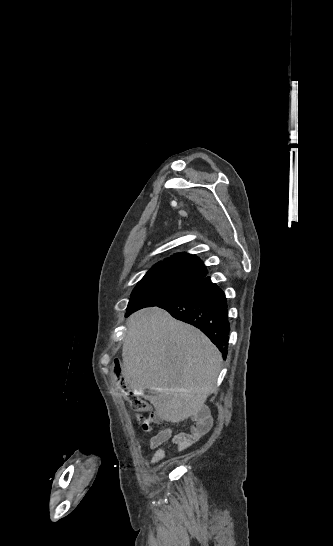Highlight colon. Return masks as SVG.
I'll return each mask as SVG.
<instances>
[{
  "label": "colon",
  "mask_w": 333,
  "mask_h": 546,
  "mask_svg": "<svg viewBox=\"0 0 333 546\" xmlns=\"http://www.w3.org/2000/svg\"><path fill=\"white\" fill-rule=\"evenodd\" d=\"M114 371L116 374L120 373V367L118 362H115ZM129 403L132 409L135 411L145 412V413H150L151 411V407L149 403L137 395L130 394ZM136 419H137L139 427L141 428L143 432L149 433L152 430L153 414H150L147 417L142 415H137Z\"/></svg>",
  "instance_id": "1"
}]
</instances>
